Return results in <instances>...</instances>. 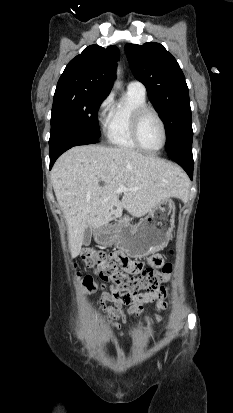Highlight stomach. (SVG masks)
<instances>
[{
  "label": "stomach",
  "mask_w": 233,
  "mask_h": 413,
  "mask_svg": "<svg viewBox=\"0 0 233 413\" xmlns=\"http://www.w3.org/2000/svg\"><path fill=\"white\" fill-rule=\"evenodd\" d=\"M175 223V204L167 198L153 208L137 225L107 224L94 231L98 244H115L135 258L162 250L168 243Z\"/></svg>",
  "instance_id": "0dacf381"
}]
</instances>
